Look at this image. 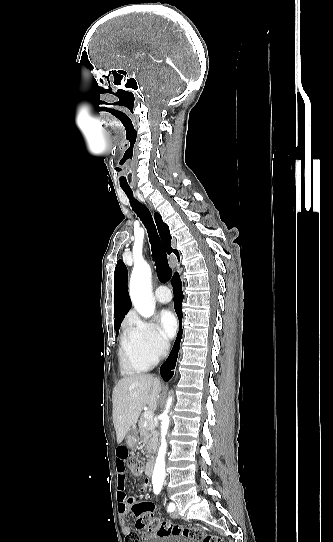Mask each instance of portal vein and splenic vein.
<instances>
[{
  "instance_id": "obj_1",
  "label": "portal vein and splenic vein",
  "mask_w": 333,
  "mask_h": 542,
  "mask_svg": "<svg viewBox=\"0 0 333 542\" xmlns=\"http://www.w3.org/2000/svg\"><path fill=\"white\" fill-rule=\"evenodd\" d=\"M144 418H146V420H152V418H154L153 410H148V412H144Z\"/></svg>"
}]
</instances>
